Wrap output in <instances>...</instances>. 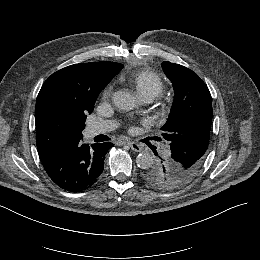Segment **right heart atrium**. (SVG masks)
<instances>
[{
	"mask_svg": "<svg viewBox=\"0 0 260 260\" xmlns=\"http://www.w3.org/2000/svg\"><path fill=\"white\" fill-rule=\"evenodd\" d=\"M112 92H113V89L111 86H107L103 91H102V98L103 99H108L109 97H111L112 95Z\"/></svg>",
	"mask_w": 260,
	"mask_h": 260,
	"instance_id": "right-heart-atrium-1",
	"label": "right heart atrium"
}]
</instances>
